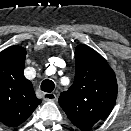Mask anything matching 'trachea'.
<instances>
[{"mask_svg":"<svg viewBox=\"0 0 131 131\" xmlns=\"http://www.w3.org/2000/svg\"><path fill=\"white\" fill-rule=\"evenodd\" d=\"M55 84L52 80L46 79L41 83V90L44 92H52L54 90Z\"/></svg>","mask_w":131,"mask_h":131,"instance_id":"3493384b","label":"trachea"}]
</instances>
